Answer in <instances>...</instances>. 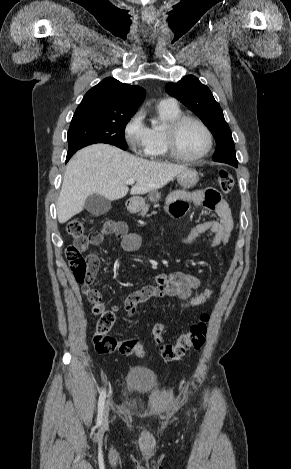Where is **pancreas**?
<instances>
[{
	"label": "pancreas",
	"instance_id": "cf45deb5",
	"mask_svg": "<svg viewBox=\"0 0 291 469\" xmlns=\"http://www.w3.org/2000/svg\"><path fill=\"white\" fill-rule=\"evenodd\" d=\"M148 210H149V205L148 204L143 206L142 209H141V215L145 216L146 213L148 212Z\"/></svg>",
	"mask_w": 291,
	"mask_h": 469
}]
</instances>
